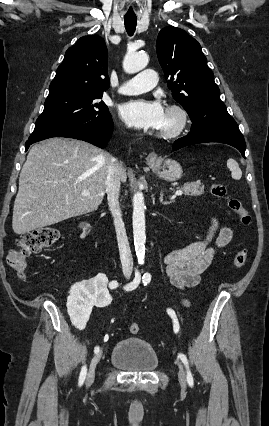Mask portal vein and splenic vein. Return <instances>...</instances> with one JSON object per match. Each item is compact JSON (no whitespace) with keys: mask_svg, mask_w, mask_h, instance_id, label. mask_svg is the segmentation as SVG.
Wrapping results in <instances>:
<instances>
[{"mask_svg":"<svg viewBox=\"0 0 269 426\" xmlns=\"http://www.w3.org/2000/svg\"><path fill=\"white\" fill-rule=\"evenodd\" d=\"M83 196H88L90 193H89V191L88 190H85V191H83L82 193H81ZM183 194V192L181 191V190H178V191H176V193H175V195H177V196H180V195H182Z\"/></svg>","mask_w":269,"mask_h":426,"instance_id":"portal-vein-and-splenic-vein-1","label":"portal vein and splenic vein"}]
</instances>
